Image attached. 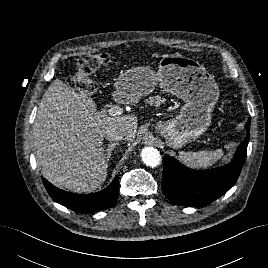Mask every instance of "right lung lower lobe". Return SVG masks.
Segmentation results:
<instances>
[{"instance_id": "1", "label": "right lung lower lobe", "mask_w": 268, "mask_h": 268, "mask_svg": "<svg viewBox=\"0 0 268 268\" xmlns=\"http://www.w3.org/2000/svg\"><path fill=\"white\" fill-rule=\"evenodd\" d=\"M43 184L52 199L78 213H93L110 208L119 197V179L114 178L104 190L92 194H74L56 188L44 177Z\"/></svg>"}]
</instances>
